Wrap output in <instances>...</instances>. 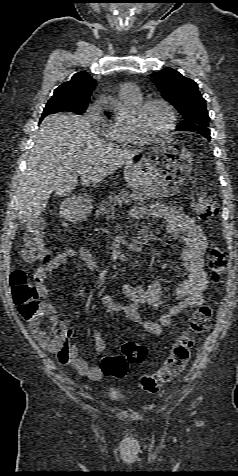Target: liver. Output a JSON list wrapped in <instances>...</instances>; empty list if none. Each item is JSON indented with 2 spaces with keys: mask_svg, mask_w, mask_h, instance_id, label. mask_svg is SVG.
Returning a JSON list of instances; mask_svg holds the SVG:
<instances>
[{
  "mask_svg": "<svg viewBox=\"0 0 238 476\" xmlns=\"http://www.w3.org/2000/svg\"><path fill=\"white\" fill-rule=\"evenodd\" d=\"M18 188L19 223L38 217L50 195L67 196L77 185L101 182L133 160L143 149L121 150L101 141L80 115L53 114L44 118Z\"/></svg>",
  "mask_w": 238,
  "mask_h": 476,
  "instance_id": "obj_1",
  "label": "liver"
}]
</instances>
